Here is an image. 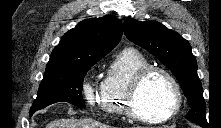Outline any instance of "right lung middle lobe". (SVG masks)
<instances>
[{
    "mask_svg": "<svg viewBox=\"0 0 221 128\" xmlns=\"http://www.w3.org/2000/svg\"><path fill=\"white\" fill-rule=\"evenodd\" d=\"M100 59L45 71L37 98L30 109V116L37 110L56 102H68L84 108L85 103L82 97L83 78Z\"/></svg>",
    "mask_w": 221,
    "mask_h": 128,
    "instance_id": "right-lung-middle-lobe-1",
    "label": "right lung middle lobe"
}]
</instances>
